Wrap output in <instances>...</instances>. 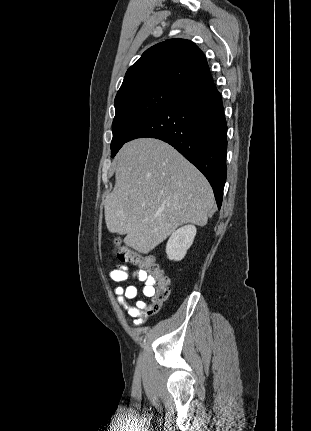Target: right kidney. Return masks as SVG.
Wrapping results in <instances>:
<instances>
[{"instance_id": "1", "label": "right kidney", "mask_w": 311, "mask_h": 431, "mask_svg": "<svg viewBox=\"0 0 311 431\" xmlns=\"http://www.w3.org/2000/svg\"><path fill=\"white\" fill-rule=\"evenodd\" d=\"M196 231L195 225H183V227L173 231L166 245L168 259H175V261L183 259L187 249L193 243Z\"/></svg>"}]
</instances>
